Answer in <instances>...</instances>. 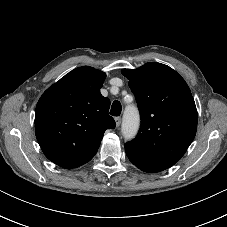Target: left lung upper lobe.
Segmentation results:
<instances>
[{
	"label": "left lung upper lobe",
	"instance_id": "left-lung-upper-lobe-1",
	"mask_svg": "<svg viewBox=\"0 0 227 227\" xmlns=\"http://www.w3.org/2000/svg\"><path fill=\"white\" fill-rule=\"evenodd\" d=\"M141 114L137 137L125 144L129 160L146 172H160L178 162L192 143L197 110L184 79L167 65L149 62L123 69Z\"/></svg>",
	"mask_w": 227,
	"mask_h": 227
}]
</instances>
